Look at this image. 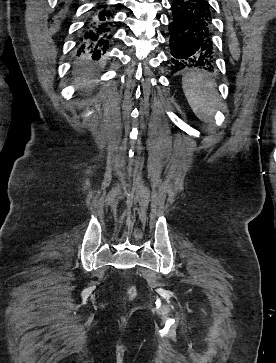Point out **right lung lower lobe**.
Segmentation results:
<instances>
[{
  "instance_id": "right-lung-lower-lobe-1",
  "label": "right lung lower lobe",
  "mask_w": 276,
  "mask_h": 363,
  "mask_svg": "<svg viewBox=\"0 0 276 363\" xmlns=\"http://www.w3.org/2000/svg\"><path fill=\"white\" fill-rule=\"evenodd\" d=\"M110 5L105 1L99 2L91 9L83 31L78 40V52L89 50L94 59H100L108 50L109 41L112 38L113 13Z\"/></svg>"
}]
</instances>
